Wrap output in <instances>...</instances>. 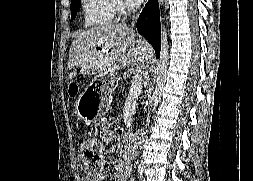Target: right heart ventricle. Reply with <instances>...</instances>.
<instances>
[{
    "label": "right heart ventricle",
    "instance_id": "right-heart-ventricle-1",
    "mask_svg": "<svg viewBox=\"0 0 253 181\" xmlns=\"http://www.w3.org/2000/svg\"><path fill=\"white\" fill-rule=\"evenodd\" d=\"M82 18L85 27H102L113 22L114 0H82Z\"/></svg>",
    "mask_w": 253,
    "mask_h": 181
}]
</instances>
